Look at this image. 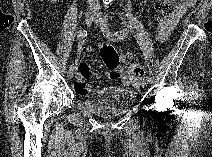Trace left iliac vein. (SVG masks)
I'll list each match as a JSON object with an SVG mask.
<instances>
[{
	"mask_svg": "<svg viewBox=\"0 0 212 157\" xmlns=\"http://www.w3.org/2000/svg\"><path fill=\"white\" fill-rule=\"evenodd\" d=\"M96 25L99 26L101 29L102 28H107V22L106 20H104L102 17H98L95 21ZM140 85L142 88H145L147 85V82H145L144 80H141Z\"/></svg>",
	"mask_w": 212,
	"mask_h": 157,
	"instance_id": "4c4485c4",
	"label": "left iliac vein"
}]
</instances>
